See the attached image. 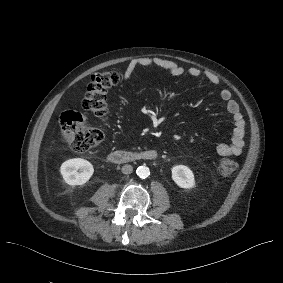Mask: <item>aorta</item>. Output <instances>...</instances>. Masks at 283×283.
<instances>
[{"label": "aorta", "mask_w": 283, "mask_h": 283, "mask_svg": "<svg viewBox=\"0 0 283 283\" xmlns=\"http://www.w3.org/2000/svg\"><path fill=\"white\" fill-rule=\"evenodd\" d=\"M136 174L140 178H147L150 175V170L146 166H139L136 170Z\"/></svg>", "instance_id": "aorta-1"}]
</instances>
